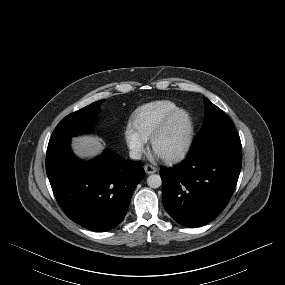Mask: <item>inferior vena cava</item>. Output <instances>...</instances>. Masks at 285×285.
<instances>
[{"label":"inferior vena cava","instance_id":"602c4592","mask_svg":"<svg viewBox=\"0 0 285 285\" xmlns=\"http://www.w3.org/2000/svg\"><path fill=\"white\" fill-rule=\"evenodd\" d=\"M129 157H130L131 159H134V160H140L141 157H142V155H141V153H139V152H137V151H130V152H129Z\"/></svg>","mask_w":285,"mask_h":285}]
</instances>
